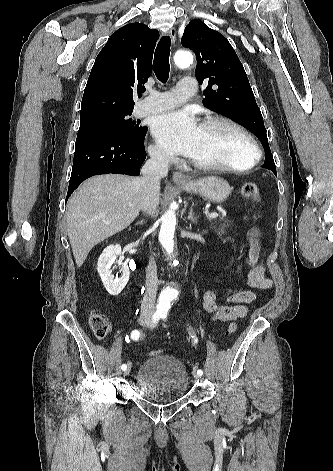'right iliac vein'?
Masks as SVG:
<instances>
[{"label":"right iliac vein","mask_w":333,"mask_h":471,"mask_svg":"<svg viewBox=\"0 0 333 471\" xmlns=\"http://www.w3.org/2000/svg\"><path fill=\"white\" fill-rule=\"evenodd\" d=\"M150 320H151V318H150V316H148V315H141V316L139 317V323H140L141 325L149 324ZM130 371H131V364L129 363L128 366H127V368H126V370H124V375H125V376L128 375V374L130 373Z\"/></svg>","instance_id":"63e3f726"}]
</instances>
